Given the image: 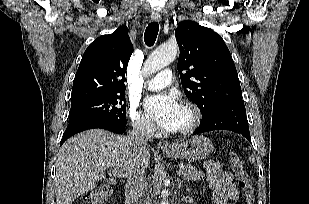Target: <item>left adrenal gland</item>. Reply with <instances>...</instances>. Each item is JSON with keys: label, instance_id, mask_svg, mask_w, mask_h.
<instances>
[{"label": "left adrenal gland", "instance_id": "obj_1", "mask_svg": "<svg viewBox=\"0 0 309 204\" xmlns=\"http://www.w3.org/2000/svg\"><path fill=\"white\" fill-rule=\"evenodd\" d=\"M178 183H179V186H181L182 183L180 182V180H178ZM187 191H190V189L187 188Z\"/></svg>", "mask_w": 309, "mask_h": 204}]
</instances>
